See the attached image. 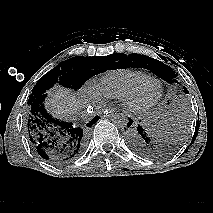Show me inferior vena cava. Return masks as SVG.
<instances>
[{
	"mask_svg": "<svg viewBox=\"0 0 213 213\" xmlns=\"http://www.w3.org/2000/svg\"><path fill=\"white\" fill-rule=\"evenodd\" d=\"M82 115H83V116H88V114H87V113H86V114L84 113V114H82Z\"/></svg>",
	"mask_w": 213,
	"mask_h": 213,
	"instance_id": "inferior-vena-cava-1",
	"label": "inferior vena cava"
}]
</instances>
